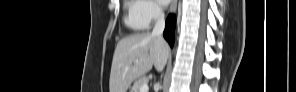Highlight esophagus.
I'll list each match as a JSON object with an SVG mask.
<instances>
[{"label":"esophagus","mask_w":296,"mask_h":92,"mask_svg":"<svg viewBox=\"0 0 296 92\" xmlns=\"http://www.w3.org/2000/svg\"><path fill=\"white\" fill-rule=\"evenodd\" d=\"M177 2H178V0H172L171 6H170V13H174L176 11Z\"/></svg>","instance_id":"34e87169"}]
</instances>
